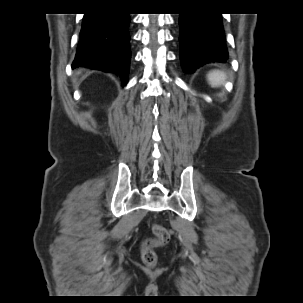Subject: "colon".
Returning <instances> with one entry per match:
<instances>
[{"label": "colon", "instance_id": "colon-1", "mask_svg": "<svg viewBox=\"0 0 303 303\" xmlns=\"http://www.w3.org/2000/svg\"><path fill=\"white\" fill-rule=\"evenodd\" d=\"M154 237L146 240L141 247V258L145 265L153 267L157 263V248H162L168 244L170 240L169 232L161 225H153Z\"/></svg>", "mask_w": 303, "mask_h": 303}]
</instances>
